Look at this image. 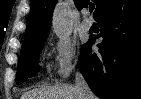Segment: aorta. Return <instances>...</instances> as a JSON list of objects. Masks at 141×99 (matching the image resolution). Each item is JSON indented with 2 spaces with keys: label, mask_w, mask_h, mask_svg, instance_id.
<instances>
[{
  "label": "aorta",
  "mask_w": 141,
  "mask_h": 99,
  "mask_svg": "<svg viewBox=\"0 0 141 99\" xmlns=\"http://www.w3.org/2000/svg\"><path fill=\"white\" fill-rule=\"evenodd\" d=\"M52 27L59 39L66 40L72 33L70 9L65 3H58L52 17Z\"/></svg>",
  "instance_id": "aorta-1"
}]
</instances>
